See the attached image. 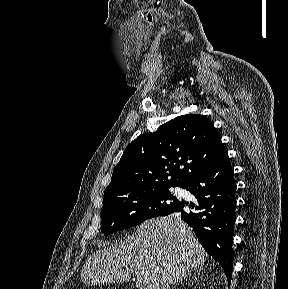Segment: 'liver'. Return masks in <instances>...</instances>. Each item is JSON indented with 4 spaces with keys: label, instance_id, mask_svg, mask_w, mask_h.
I'll return each mask as SVG.
<instances>
[{
    "label": "liver",
    "instance_id": "obj_1",
    "mask_svg": "<svg viewBox=\"0 0 288 289\" xmlns=\"http://www.w3.org/2000/svg\"><path fill=\"white\" fill-rule=\"evenodd\" d=\"M207 256L191 228L172 214L147 220L135 236L94 252L81 280L94 286L128 282L135 272L143 279L140 289H169L202 266Z\"/></svg>",
    "mask_w": 288,
    "mask_h": 289
}]
</instances>
